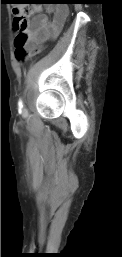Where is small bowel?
Wrapping results in <instances>:
<instances>
[{
	"instance_id": "1",
	"label": "small bowel",
	"mask_w": 122,
	"mask_h": 257,
	"mask_svg": "<svg viewBox=\"0 0 122 257\" xmlns=\"http://www.w3.org/2000/svg\"><path fill=\"white\" fill-rule=\"evenodd\" d=\"M51 11L52 19L50 20L46 14L37 13V9L30 10L34 15L28 24L24 46L28 53H32L37 46L55 39L60 34L68 15V9L58 6Z\"/></svg>"
}]
</instances>
